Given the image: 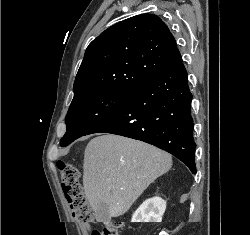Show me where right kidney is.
Here are the masks:
<instances>
[{
	"label": "right kidney",
	"mask_w": 250,
	"mask_h": 235,
	"mask_svg": "<svg viewBox=\"0 0 250 235\" xmlns=\"http://www.w3.org/2000/svg\"><path fill=\"white\" fill-rule=\"evenodd\" d=\"M166 209V202L160 197L144 201L134 212L132 222H161Z\"/></svg>",
	"instance_id": "ca27d5eb"
}]
</instances>
